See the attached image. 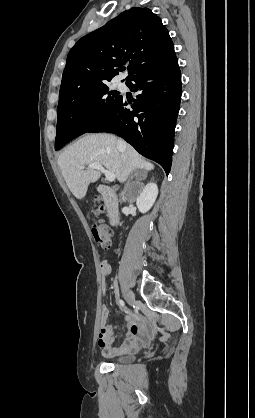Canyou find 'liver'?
<instances>
[{"mask_svg": "<svg viewBox=\"0 0 255 418\" xmlns=\"http://www.w3.org/2000/svg\"><path fill=\"white\" fill-rule=\"evenodd\" d=\"M123 153L127 155L126 164H123ZM92 163H99L113 172L119 182H124L133 170L154 169V165L146 161L132 146L126 144L125 149H120L118 139L114 135H85L58 157V165L66 184L78 199L84 198L90 183L96 182L101 176L99 170L80 169Z\"/></svg>", "mask_w": 255, "mask_h": 418, "instance_id": "liver-1", "label": "liver"}]
</instances>
